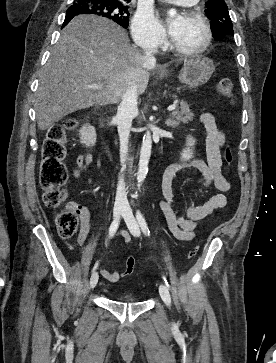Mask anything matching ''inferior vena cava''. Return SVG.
I'll return each instance as SVG.
<instances>
[{
  "label": "inferior vena cava",
  "mask_w": 276,
  "mask_h": 363,
  "mask_svg": "<svg viewBox=\"0 0 276 363\" xmlns=\"http://www.w3.org/2000/svg\"><path fill=\"white\" fill-rule=\"evenodd\" d=\"M156 52L157 50L154 47H147L144 49V55L142 56L143 67L155 66L156 59L154 57V53ZM137 97V87L135 84H131L123 95L122 101L118 106L117 115L115 116V121L117 122V128L120 137V159L122 170H125L126 168L125 161L128 151V140L132 119L138 111ZM127 204L128 201L125 183L123 176H121L117 185L115 206H126Z\"/></svg>",
  "instance_id": "inferior-vena-cava-1"
}]
</instances>
